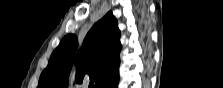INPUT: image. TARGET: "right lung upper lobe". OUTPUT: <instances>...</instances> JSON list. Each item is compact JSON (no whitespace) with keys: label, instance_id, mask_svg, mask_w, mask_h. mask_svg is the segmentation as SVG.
<instances>
[{"label":"right lung upper lobe","instance_id":"1","mask_svg":"<svg viewBox=\"0 0 223 88\" xmlns=\"http://www.w3.org/2000/svg\"><path fill=\"white\" fill-rule=\"evenodd\" d=\"M120 30L112 12L94 24L86 35L78 56L75 35L66 36L54 50L42 72L38 88H67V77L76 60L77 83L89 78L95 88H106L119 79Z\"/></svg>","mask_w":223,"mask_h":88}]
</instances>
